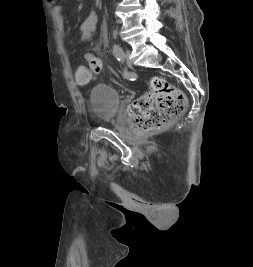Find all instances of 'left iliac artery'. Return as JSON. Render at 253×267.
<instances>
[{
  "label": "left iliac artery",
  "mask_w": 253,
  "mask_h": 267,
  "mask_svg": "<svg viewBox=\"0 0 253 267\" xmlns=\"http://www.w3.org/2000/svg\"><path fill=\"white\" fill-rule=\"evenodd\" d=\"M122 48L120 47L119 44L117 43H114L113 44V53H114V56L116 57V59L118 61H122L123 60V57H122Z\"/></svg>",
  "instance_id": "1"
}]
</instances>
